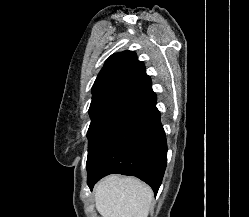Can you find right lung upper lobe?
Listing matches in <instances>:
<instances>
[{"label":"right lung upper lobe","mask_w":249,"mask_h":217,"mask_svg":"<svg viewBox=\"0 0 249 217\" xmlns=\"http://www.w3.org/2000/svg\"><path fill=\"white\" fill-rule=\"evenodd\" d=\"M145 67L133 51L108 58L92 87L93 98L108 93H125L146 77Z\"/></svg>","instance_id":"1"}]
</instances>
